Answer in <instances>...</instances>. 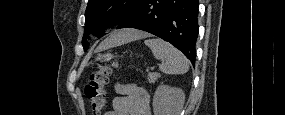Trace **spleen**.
Instances as JSON below:
<instances>
[{"instance_id":"spleen-1","label":"spleen","mask_w":285,"mask_h":115,"mask_svg":"<svg viewBox=\"0 0 285 115\" xmlns=\"http://www.w3.org/2000/svg\"><path fill=\"white\" fill-rule=\"evenodd\" d=\"M156 59L162 60L159 69L165 74H184L189 70L188 59L170 43L153 38L145 40Z\"/></svg>"}]
</instances>
